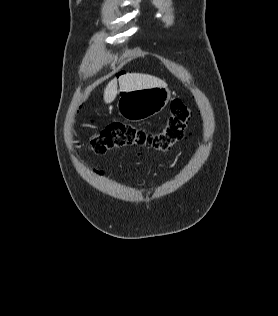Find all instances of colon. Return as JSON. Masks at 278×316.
Here are the masks:
<instances>
[{"label": "colon", "mask_w": 278, "mask_h": 316, "mask_svg": "<svg viewBox=\"0 0 278 316\" xmlns=\"http://www.w3.org/2000/svg\"><path fill=\"white\" fill-rule=\"evenodd\" d=\"M191 118V111L181 100H174L164 128L158 132L141 127L112 121L104 125L91 139V149L101 155L107 151L134 146L139 148L167 151L185 136V127Z\"/></svg>", "instance_id": "5ec220e1"}]
</instances>
